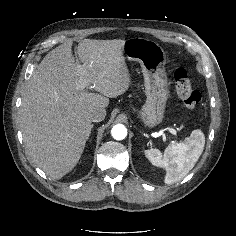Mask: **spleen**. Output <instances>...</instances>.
Wrapping results in <instances>:
<instances>
[{"mask_svg": "<svg viewBox=\"0 0 236 236\" xmlns=\"http://www.w3.org/2000/svg\"><path fill=\"white\" fill-rule=\"evenodd\" d=\"M205 145L204 133L196 129L181 143H172L162 155L158 149L145 150V156L155 166L164 167V182L173 184L184 178L193 169Z\"/></svg>", "mask_w": 236, "mask_h": 236, "instance_id": "3e777b00", "label": "spleen"}]
</instances>
